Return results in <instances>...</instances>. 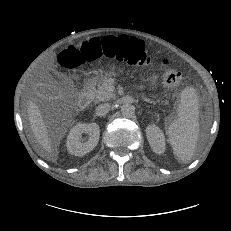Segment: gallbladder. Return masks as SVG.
Listing matches in <instances>:
<instances>
[{
	"label": "gallbladder",
	"mask_w": 231,
	"mask_h": 231,
	"mask_svg": "<svg viewBox=\"0 0 231 231\" xmlns=\"http://www.w3.org/2000/svg\"><path fill=\"white\" fill-rule=\"evenodd\" d=\"M61 82H67V78L66 77H61ZM59 84L56 82H52V83H46L44 85H41L40 87V92L49 97V98H54L55 96H57L59 94Z\"/></svg>",
	"instance_id": "obj_1"
}]
</instances>
